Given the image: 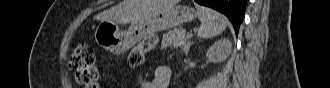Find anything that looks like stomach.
I'll return each mask as SVG.
<instances>
[{
    "instance_id": "1",
    "label": "stomach",
    "mask_w": 330,
    "mask_h": 88,
    "mask_svg": "<svg viewBox=\"0 0 330 88\" xmlns=\"http://www.w3.org/2000/svg\"><path fill=\"white\" fill-rule=\"evenodd\" d=\"M194 18L196 12L193 8L175 3L167 5L146 19L132 23L125 31H120L116 23L101 21L95 30V40L104 49L122 54L146 36L178 27Z\"/></svg>"
}]
</instances>
